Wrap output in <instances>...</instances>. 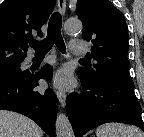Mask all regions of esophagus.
Segmentation results:
<instances>
[{"label":"esophagus","instance_id":"esophagus-1","mask_svg":"<svg viewBox=\"0 0 144 137\" xmlns=\"http://www.w3.org/2000/svg\"><path fill=\"white\" fill-rule=\"evenodd\" d=\"M58 10L59 12L64 15L66 11V1L65 0H57ZM57 98L62 108L66 105V94L62 90H57L56 92Z\"/></svg>","mask_w":144,"mask_h":137}]
</instances>
